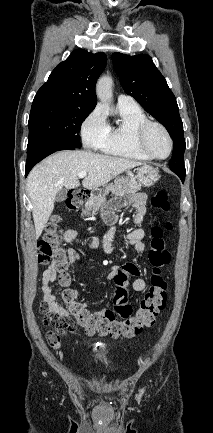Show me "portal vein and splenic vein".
Returning a JSON list of instances; mask_svg holds the SVG:
<instances>
[{
  "label": "portal vein and splenic vein",
  "instance_id": "portal-vein-and-splenic-vein-1",
  "mask_svg": "<svg viewBox=\"0 0 213 433\" xmlns=\"http://www.w3.org/2000/svg\"><path fill=\"white\" fill-rule=\"evenodd\" d=\"M87 176V173L86 172H80L79 174H78V177L79 178H84V177H86Z\"/></svg>",
  "mask_w": 213,
  "mask_h": 433
}]
</instances>
